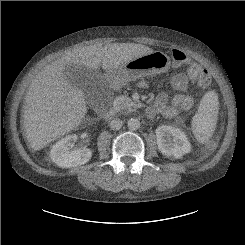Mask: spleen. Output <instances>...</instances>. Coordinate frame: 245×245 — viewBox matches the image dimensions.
I'll return each mask as SVG.
<instances>
[{
  "label": "spleen",
  "mask_w": 245,
  "mask_h": 245,
  "mask_svg": "<svg viewBox=\"0 0 245 245\" xmlns=\"http://www.w3.org/2000/svg\"><path fill=\"white\" fill-rule=\"evenodd\" d=\"M219 113L218 95L215 91L207 92L192 120V130L200 143H206L212 136Z\"/></svg>",
  "instance_id": "1"
}]
</instances>
